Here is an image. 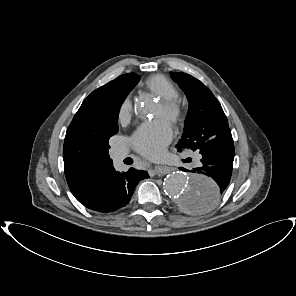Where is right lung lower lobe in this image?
<instances>
[{
    "mask_svg": "<svg viewBox=\"0 0 296 296\" xmlns=\"http://www.w3.org/2000/svg\"><path fill=\"white\" fill-rule=\"evenodd\" d=\"M149 178L146 171L130 168L125 173L110 170L75 197L86 208L96 212H114L127 205L139 180Z\"/></svg>",
    "mask_w": 296,
    "mask_h": 296,
    "instance_id": "1",
    "label": "right lung lower lobe"
}]
</instances>
